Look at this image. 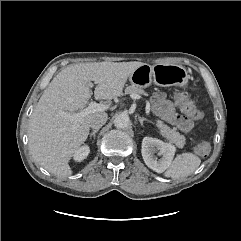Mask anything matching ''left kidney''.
<instances>
[{
  "label": "left kidney",
  "instance_id": "5707ae66",
  "mask_svg": "<svg viewBox=\"0 0 241 241\" xmlns=\"http://www.w3.org/2000/svg\"><path fill=\"white\" fill-rule=\"evenodd\" d=\"M176 148L170 143H165L152 137H144L142 141V157L145 164L157 173L164 172L171 164ZM157 152L160 159L154 156Z\"/></svg>",
  "mask_w": 241,
  "mask_h": 241
}]
</instances>
